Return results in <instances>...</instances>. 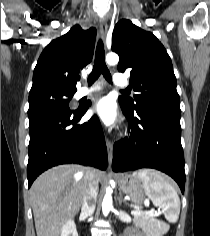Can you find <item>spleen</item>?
<instances>
[{
  "label": "spleen",
  "instance_id": "1",
  "mask_svg": "<svg viewBox=\"0 0 210 236\" xmlns=\"http://www.w3.org/2000/svg\"><path fill=\"white\" fill-rule=\"evenodd\" d=\"M133 176L141 179L146 195L155 206L163 209L166 220L176 223L180 213V199L168 179L151 169L136 171Z\"/></svg>",
  "mask_w": 210,
  "mask_h": 236
}]
</instances>
